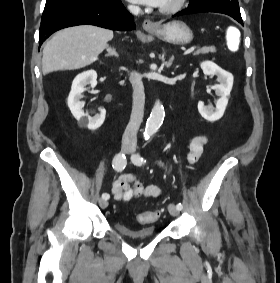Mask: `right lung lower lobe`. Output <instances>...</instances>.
<instances>
[{"mask_svg":"<svg viewBox=\"0 0 280 283\" xmlns=\"http://www.w3.org/2000/svg\"><path fill=\"white\" fill-rule=\"evenodd\" d=\"M85 24L121 31L135 29L133 16L121 0L64 3L44 9L39 43L42 45L51 34L60 29Z\"/></svg>","mask_w":280,"mask_h":283,"instance_id":"1","label":"right lung lower lobe"}]
</instances>
